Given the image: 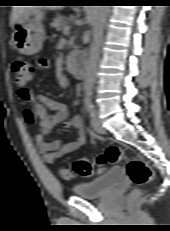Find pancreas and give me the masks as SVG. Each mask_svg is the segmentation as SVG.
<instances>
[{"instance_id":"pancreas-1","label":"pancreas","mask_w":170,"mask_h":231,"mask_svg":"<svg viewBox=\"0 0 170 231\" xmlns=\"http://www.w3.org/2000/svg\"><path fill=\"white\" fill-rule=\"evenodd\" d=\"M68 19L62 15H58L53 22L51 27L55 28L57 31H64V28L68 26Z\"/></svg>"}]
</instances>
